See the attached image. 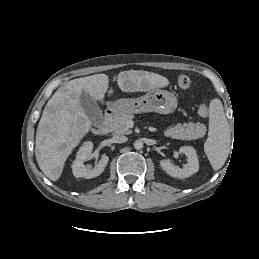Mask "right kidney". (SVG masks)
I'll use <instances>...</instances> for the list:
<instances>
[{
	"instance_id": "right-kidney-1",
	"label": "right kidney",
	"mask_w": 259,
	"mask_h": 259,
	"mask_svg": "<svg viewBox=\"0 0 259 259\" xmlns=\"http://www.w3.org/2000/svg\"><path fill=\"white\" fill-rule=\"evenodd\" d=\"M93 143L91 141L84 142L80 147L76 159L72 164V172L76 178H94L99 176L105 169L109 157L103 155L101 160L95 165L93 169L86 168L84 162L89 160L92 157Z\"/></svg>"
}]
</instances>
